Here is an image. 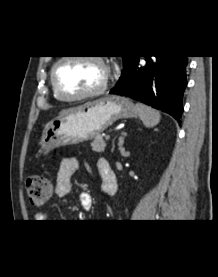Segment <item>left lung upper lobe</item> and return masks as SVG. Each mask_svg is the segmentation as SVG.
Instances as JSON below:
<instances>
[{"mask_svg":"<svg viewBox=\"0 0 218 277\" xmlns=\"http://www.w3.org/2000/svg\"><path fill=\"white\" fill-rule=\"evenodd\" d=\"M124 61V67L129 63V61L133 58V56H122Z\"/></svg>","mask_w":218,"mask_h":277,"instance_id":"1","label":"left lung upper lobe"}]
</instances>
